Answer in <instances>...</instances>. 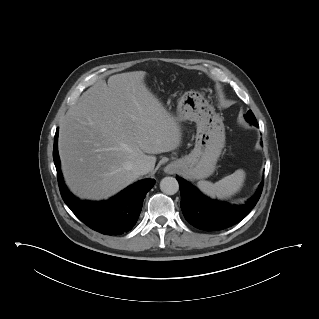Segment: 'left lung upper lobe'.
Segmentation results:
<instances>
[{"instance_id":"left-lung-upper-lobe-1","label":"left lung upper lobe","mask_w":319,"mask_h":319,"mask_svg":"<svg viewBox=\"0 0 319 319\" xmlns=\"http://www.w3.org/2000/svg\"><path fill=\"white\" fill-rule=\"evenodd\" d=\"M245 118H246V120H247L248 122H250V123H252V124L257 123L256 118H255V116L253 115V113H252L251 110H249V111L247 112V114L245 115Z\"/></svg>"}]
</instances>
